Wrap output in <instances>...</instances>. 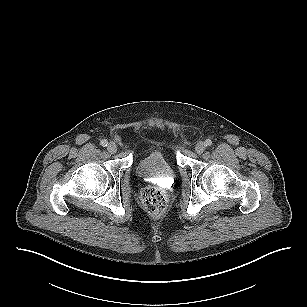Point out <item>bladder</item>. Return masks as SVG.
Returning <instances> with one entry per match:
<instances>
[{"label": "bladder", "instance_id": "1", "mask_svg": "<svg viewBox=\"0 0 307 307\" xmlns=\"http://www.w3.org/2000/svg\"><path fill=\"white\" fill-rule=\"evenodd\" d=\"M136 172L143 179L172 180L175 177L174 167L165 154L159 150L152 151L142 157L136 164Z\"/></svg>", "mask_w": 307, "mask_h": 307}]
</instances>
